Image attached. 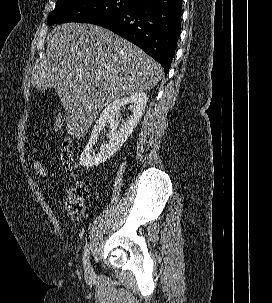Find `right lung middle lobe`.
Returning a JSON list of instances; mask_svg holds the SVG:
<instances>
[{
	"instance_id": "1",
	"label": "right lung middle lobe",
	"mask_w": 272,
	"mask_h": 303,
	"mask_svg": "<svg viewBox=\"0 0 272 303\" xmlns=\"http://www.w3.org/2000/svg\"><path fill=\"white\" fill-rule=\"evenodd\" d=\"M135 0H57L55 9L48 16L53 23H92L132 7Z\"/></svg>"
}]
</instances>
